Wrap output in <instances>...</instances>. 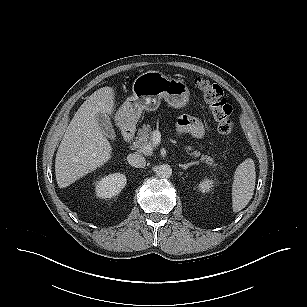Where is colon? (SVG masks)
<instances>
[{
	"label": "colon",
	"mask_w": 307,
	"mask_h": 307,
	"mask_svg": "<svg viewBox=\"0 0 307 307\" xmlns=\"http://www.w3.org/2000/svg\"><path fill=\"white\" fill-rule=\"evenodd\" d=\"M195 86L208 103L217 122L218 131L223 135L231 136L234 129L233 110L224 97L222 88L203 78H197Z\"/></svg>",
	"instance_id": "5ec220e1"
}]
</instances>
